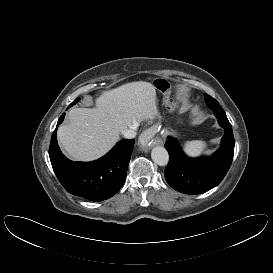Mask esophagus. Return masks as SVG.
<instances>
[{
    "label": "esophagus",
    "mask_w": 273,
    "mask_h": 273,
    "mask_svg": "<svg viewBox=\"0 0 273 273\" xmlns=\"http://www.w3.org/2000/svg\"><path fill=\"white\" fill-rule=\"evenodd\" d=\"M154 137V132L152 129H147L145 130L141 136H140V141L143 145H147V143L152 140V138ZM153 141V140H152Z\"/></svg>",
    "instance_id": "esophagus-1"
}]
</instances>
